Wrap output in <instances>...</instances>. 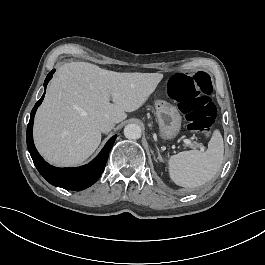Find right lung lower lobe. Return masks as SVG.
<instances>
[{
  "label": "right lung lower lobe",
  "mask_w": 265,
  "mask_h": 265,
  "mask_svg": "<svg viewBox=\"0 0 265 265\" xmlns=\"http://www.w3.org/2000/svg\"><path fill=\"white\" fill-rule=\"evenodd\" d=\"M55 70L53 69L46 77L44 86L48 84ZM45 93L41 99L35 104L31 111L30 120L27 126V147L33 162L40 174L52 185L67 190H83L94 184L102 174L110 149L112 148L116 135L111 137L106 143L99 155L89 164L76 168H56L44 161L37 152L32 136L34 115L43 101Z\"/></svg>",
  "instance_id": "98d812e1"
}]
</instances>
